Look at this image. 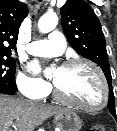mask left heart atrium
<instances>
[{"label": "left heart atrium", "instance_id": "obj_1", "mask_svg": "<svg viewBox=\"0 0 117 131\" xmlns=\"http://www.w3.org/2000/svg\"><path fill=\"white\" fill-rule=\"evenodd\" d=\"M32 68H33L34 70H37V69H38V66H37L36 64H33V65H32Z\"/></svg>", "mask_w": 117, "mask_h": 131}]
</instances>
